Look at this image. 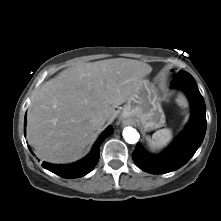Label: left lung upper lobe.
<instances>
[{
  "mask_svg": "<svg viewBox=\"0 0 221 221\" xmlns=\"http://www.w3.org/2000/svg\"><path fill=\"white\" fill-rule=\"evenodd\" d=\"M189 73L185 72V71H179L176 75H175V78L178 77V76H183V75H187Z\"/></svg>",
  "mask_w": 221,
  "mask_h": 221,
  "instance_id": "1",
  "label": "left lung upper lobe"
}]
</instances>
